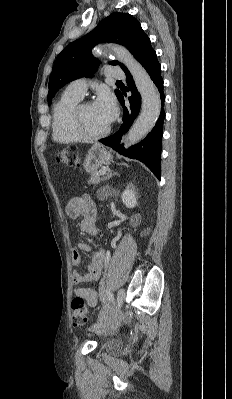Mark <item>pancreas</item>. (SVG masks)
Returning <instances> with one entry per match:
<instances>
[{
	"instance_id": "cf45deb5",
	"label": "pancreas",
	"mask_w": 232,
	"mask_h": 399,
	"mask_svg": "<svg viewBox=\"0 0 232 399\" xmlns=\"http://www.w3.org/2000/svg\"><path fill=\"white\" fill-rule=\"evenodd\" d=\"M101 176H103V174H100L98 170H96V172H92L91 178L88 180V184H99V182H101Z\"/></svg>"
}]
</instances>
